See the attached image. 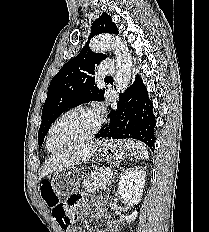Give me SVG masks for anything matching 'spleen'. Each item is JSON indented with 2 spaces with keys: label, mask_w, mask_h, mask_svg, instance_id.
Instances as JSON below:
<instances>
[{
  "label": "spleen",
  "mask_w": 209,
  "mask_h": 232,
  "mask_svg": "<svg viewBox=\"0 0 209 232\" xmlns=\"http://www.w3.org/2000/svg\"><path fill=\"white\" fill-rule=\"evenodd\" d=\"M134 155H135V158L148 159V152H147L146 146L142 144L141 142H137L135 145Z\"/></svg>",
  "instance_id": "spleen-1"
}]
</instances>
